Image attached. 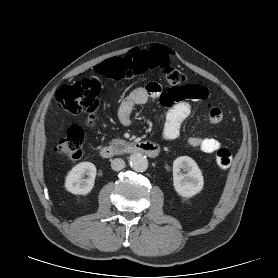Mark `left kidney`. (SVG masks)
I'll list each match as a JSON object with an SVG mask.
<instances>
[{"label":"left kidney","mask_w":278,"mask_h":278,"mask_svg":"<svg viewBox=\"0 0 278 278\" xmlns=\"http://www.w3.org/2000/svg\"><path fill=\"white\" fill-rule=\"evenodd\" d=\"M173 185L180 196L187 198L198 194L202 190L204 185L203 175L197 163L191 157L181 156L174 160Z\"/></svg>","instance_id":"left-kidney-1"}]
</instances>
